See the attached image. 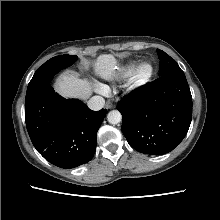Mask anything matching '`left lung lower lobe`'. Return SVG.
<instances>
[{"label":"left lung lower lobe","mask_w":220,"mask_h":220,"mask_svg":"<svg viewBox=\"0 0 220 220\" xmlns=\"http://www.w3.org/2000/svg\"><path fill=\"white\" fill-rule=\"evenodd\" d=\"M122 132L138 152L172 151L188 132L192 96L184 73L160 76L121 100Z\"/></svg>","instance_id":"left-lung-lower-lobe-1"}]
</instances>
